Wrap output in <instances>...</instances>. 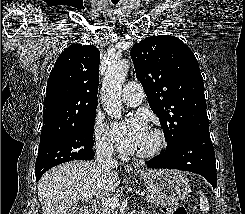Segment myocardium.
<instances>
[{
	"label": "myocardium",
	"mask_w": 245,
	"mask_h": 214,
	"mask_svg": "<svg viewBox=\"0 0 245 214\" xmlns=\"http://www.w3.org/2000/svg\"><path fill=\"white\" fill-rule=\"evenodd\" d=\"M149 131L152 132L156 136L157 143L152 149L148 151L140 152V153H133V155L136 158L144 159V160L152 159L158 156L165 149L167 145V137L163 130L157 127H152L149 129Z\"/></svg>",
	"instance_id": "obj_1"
}]
</instances>
